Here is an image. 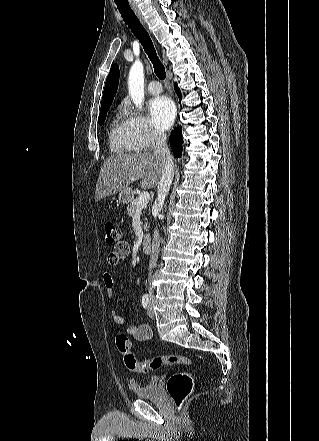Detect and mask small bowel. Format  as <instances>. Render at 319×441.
Returning a JSON list of instances; mask_svg holds the SVG:
<instances>
[{"instance_id": "1", "label": "small bowel", "mask_w": 319, "mask_h": 441, "mask_svg": "<svg viewBox=\"0 0 319 441\" xmlns=\"http://www.w3.org/2000/svg\"><path fill=\"white\" fill-rule=\"evenodd\" d=\"M130 252L129 244L120 242L115 250L110 252L107 256V262L111 266H116L120 261L125 260ZM103 280L106 288V293L109 298L114 295V278L111 273H104ZM112 321L115 324L122 325L126 322V315L119 313L116 310L111 312ZM126 332L137 341H149L152 338V331L149 325L143 324L138 326H129Z\"/></svg>"}]
</instances>
